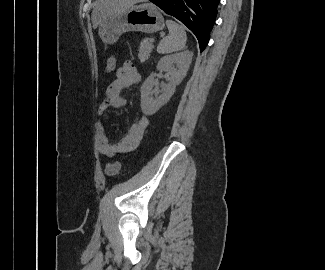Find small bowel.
Instances as JSON below:
<instances>
[{
  "label": "small bowel",
  "instance_id": "obj_1",
  "mask_svg": "<svg viewBox=\"0 0 325 270\" xmlns=\"http://www.w3.org/2000/svg\"><path fill=\"white\" fill-rule=\"evenodd\" d=\"M141 80V76L132 62H125L117 67L115 71V79L108 86L106 98L98 107V115L102 117L110 108H120L127 104V100L121 95V92L129 87L137 85ZM148 125L146 118H140L133 122L128 128L126 134L117 143H110L108 134L106 133L103 123L99 122L98 133V150L105 157L112 158L123 153L133 151L139 145L143 133Z\"/></svg>",
  "mask_w": 325,
  "mask_h": 270
}]
</instances>
